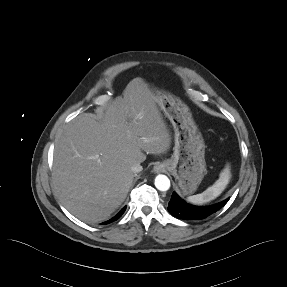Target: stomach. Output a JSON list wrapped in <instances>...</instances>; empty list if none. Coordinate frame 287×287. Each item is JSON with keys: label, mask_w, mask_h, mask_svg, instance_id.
Listing matches in <instances>:
<instances>
[{"label": "stomach", "mask_w": 287, "mask_h": 287, "mask_svg": "<svg viewBox=\"0 0 287 287\" xmlns=\"http://www.w3.org/2000/svg\"><path fill=\"white\" fill-rule=\"evenodd\" d=\"M147 86L174 129V152L164 164L175 177L182 193L193 194L206 172L202 134L185 103L171 94Z\"/></svg>", "instance_id": "stomach-1"}]
</instances>
